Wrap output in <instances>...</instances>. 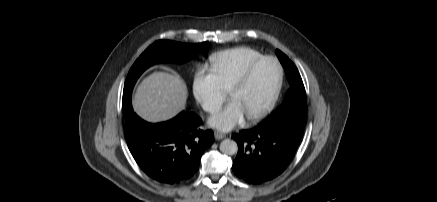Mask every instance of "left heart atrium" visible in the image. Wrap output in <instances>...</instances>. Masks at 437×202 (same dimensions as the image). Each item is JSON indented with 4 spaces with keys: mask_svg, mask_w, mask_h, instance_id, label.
<instances>
[{
    "mask_svg": "<svg viewBox=\"0 0 437 202\" xmlns=\"http://www.w3.org/2000/svg\"><path fill=\"white\" fill-rule=\"evenodd\" d=\"M245 114L240 104L231 100L222 110L209 119V124L221 131H229L242 123Z\"/></svg>",
    "mask_w": 437,
    "mask_h": 202,
    "instance_id": "39dd6f15",
    "label": "left heart atrium"
}]
</instances>
